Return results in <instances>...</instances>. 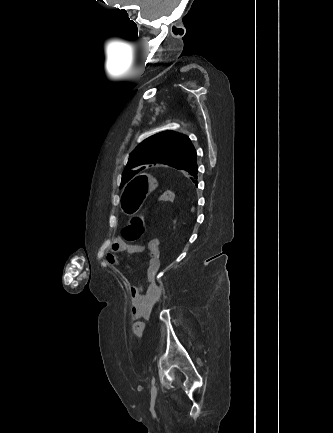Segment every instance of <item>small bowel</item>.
Here are the masks:
<instances>
[{
  "instance_id": "1",
  "label": "small bowel",
  "mask_w": 333,
  "mask_h": 433,
  "mask_svg": "<svg viewBox=\"0 0 333 433\" xmlns=\"http://www.w3.org/2000/svg\"><path fill=\"white\" fill-rule=\"evenodd\" d=\"M161 243L158 239H152L148 244V261H147V272L149 275L155 276L160 269L161 254H160ZM144 248L140 245H125L121 243H113L109 248L107 260L114 266H124V263L120 260V253L126 251L130 254L141 253ZM163 293V287L159 282L153 281L146 288H140L132 286L129 290L131 305H130V316L134 321L132 324V330L136 336L143 334L145 323L151 317L152 312L161 299Z\"/></svg>"
}]
</instances>
